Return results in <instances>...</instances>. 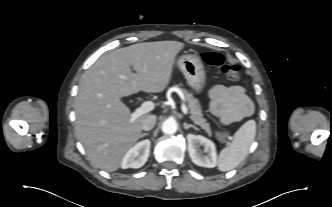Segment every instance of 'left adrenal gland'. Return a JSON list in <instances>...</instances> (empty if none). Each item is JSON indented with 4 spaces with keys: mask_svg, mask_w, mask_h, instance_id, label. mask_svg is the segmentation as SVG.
Segmentation results:
<instances>
[{
    "mask_svg": "<svg viewBox=\"0 0 332 207\" xmlns=\"http://www.w3.org/2000/svg\"><path fill=\"white\" fill-rule=\"evenodd\" d=\"M183 127H184V129H189V128H194L195 130H198V128L196 127V126H194V125H192V124H187V123H184L183 124Z\"/></svg>",
    "mask_w": 332,
    "mask_h": 207,
    "instance_id": "obj_1",
    "label": "left adrenal gland"
}]
</instances>
